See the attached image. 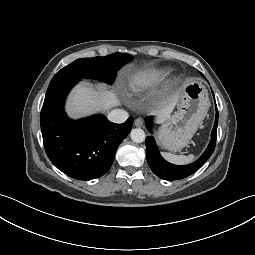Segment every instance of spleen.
Wrapping results in <instances>:
<instances>
[{"mask_svg": "<svg viewBox=\"0 0 255 255\" xmlns=\"http://www.w3.org/2000/svg\"><path fill=\"white\" fill-rule=\"evenodd\" d=\"M162 155L167 161L173 164H178V165L188 164L192 162L195 158L193 154L185 156V155H174L171 153L162 152Z\"/></svg>", "mask_w": 255, "mask_h": 255, "instance_id": "obj_1", "label": "spleen"}]
</instances>
